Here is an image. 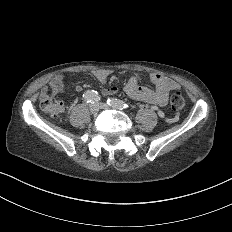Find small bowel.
<instances>
[{
  "label": "small bowel",
  "mask_w": 232,
  "mask_h": 232,
  "mask_svg": "<svg viewBox=\"0 0 232 232\" xmlns=\"http://www.w3.org/2000/svg\"><path fill=\"white\" fill-rule=\"evenodd\" d=\"M111 74L109 69H95V77L102 83H105ZM151 80L155 85V89L145 88L139 86V78L133 76L127 81L124 91L134 100L144 102H155L159 105H166L168 103V94L170 91L178 88V84L175 80L159 73H153ZM88 83L86 78L78 80V84L85 85ZM64 77L62 75L54 76L47 85L41 88L43 94L51 91L52 93H58L63 89ZM80 89V88H78ZM109 92H105L104 96H109Z\"/></svg>",
  "instance_id": "small-bowel-1"
}]
</instances>
